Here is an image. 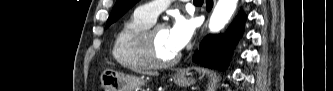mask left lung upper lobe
<instances>
[{"label": "left lung upper lobe", "instance_id": "5c2ea615", "mask_svg": "<svg viewBox=\"0 0 333 91\" xmlns=\"http://www.w3.org/2000/svg\"><path fill=\"white\" fill-rule=\"evenodd\" d=\"M138 0H117L107 20L106 27L117 21L124 15Z\"/></svg>", "mask_w": 333, "mask_h": 91}]
</instances>
